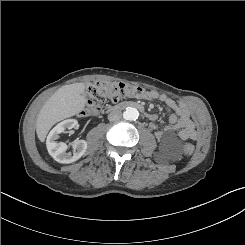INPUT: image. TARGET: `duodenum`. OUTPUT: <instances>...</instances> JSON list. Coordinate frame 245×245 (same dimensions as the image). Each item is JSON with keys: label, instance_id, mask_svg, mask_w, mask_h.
<instances>
[{"label": "duodenum", "instance_id": "1", "mask_svg": "<svg viewBox=\"0 0 245 245\" xmlns=\"http://www.w3.org/2000/svg\"><path fill=\"white\" fill-rule=\"evenodd\" d=\"M127 108H136L138 109L145 117L147 118H151V114L149 112H147V110L145 109V107L143 105H141L140 103L137 102H124V103H120L118 105L115 106H109L105 109L106 112H111V111H115V110H124Z\"/></svg>", "mask_w": 245, "mask_h": 245}]
</instances>
